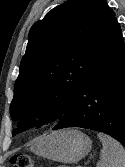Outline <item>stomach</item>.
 <instances>
[{
    "mask_svg": "<svg viewBox=\"0 0 125 167\" xmlns=\"http://www.w3.org/2000/svg\"><path fill=\"white\" fill-rule=\"evenodd\" d=\"M91 148L92 141L86 134L75 129H65L40 137L31 147V151L50 160L76 163Z\"/></svg>",
    "mask_w": 125,
    "mask_h": 167,
    "instance_id": "obj_1",
    "label": "stomach"
}]
</instances>
